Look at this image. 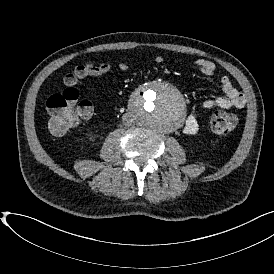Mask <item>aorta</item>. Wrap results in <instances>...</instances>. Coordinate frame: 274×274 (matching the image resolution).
I'll list each match as a JSON object with an SVG mask.
<instances>
[{"instance_id": "1", "label": "aorta", "mask_w": 274, "mask_h": 274, "mask_svg": "<svg viewBox=\"0 0 274 274\" xmlns=\"http://www.w3.org/2000/svg\"><path fill=\"white\" fill-rule=\"evenodd\" d=\"M130 113L138 125L167 133L177 129L184 120L185 102L173 85L152 81L132 96Z\"/></svg>"}]
</instances>
